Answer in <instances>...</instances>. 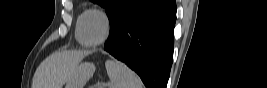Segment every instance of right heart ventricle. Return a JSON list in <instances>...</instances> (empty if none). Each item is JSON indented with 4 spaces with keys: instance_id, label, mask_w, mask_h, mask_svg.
<instances>
[{
    "instance_id": "1",
    "label": "right heart ventricle",
    "mask_w": 267,
    "mask_h": 88,
    "mask_svg": "<svg viewBox=\"0 0 267 88\" xmlns=\"http://www.w3.org/2000/svg\"><path fill=\"white\" fill-rule=\"evenodd\" d=\"M89 11L90 10H86V11L81 12L77 17L76 24H75V38L78 41V43H80L81 45H84V46H86V45L83 42L82 37H81V25H82L83 17Z\"/></svg>"
}]
</instances>
